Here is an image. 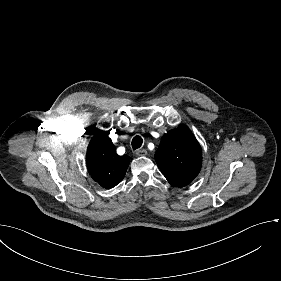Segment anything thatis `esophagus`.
<instances>
[{
  "instance_id": "1",
  "label": "esophagus",
  "mask_w": 281,
  "mask_h": 281,
  "mask_svg": "<svg viewBox=\"0 0 281 281\" xmlns=\"http://www.w3.org/2000/svg\"><path fill=\"white\" fill-rule=\"evenodd\" d=\"M148 152L145 149L137 150L136 155L137 156H146Z\"/></svg>"
}]
</instances>
